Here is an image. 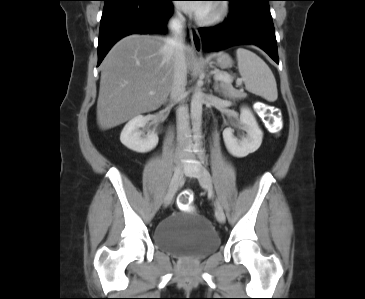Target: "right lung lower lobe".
I'll return each instance as SVG.
<instances>
[{
    "mask_svg": "<svg viewBox=\"0 0 365 299\" xmlns=\"http://www.w3.org/2000/svg\"><path fill=\"white\" fill-rule=\"evenodd\" d=\"M172 0H105L99 40L98 65L121 38L134 33H166L173 13Z\"/></svg>",
    "mask_w": 365,
    "mask_h": 299,
    "instance_id": "obj_1",
    "label": "right lung lower lobe"
}]
</instances>
